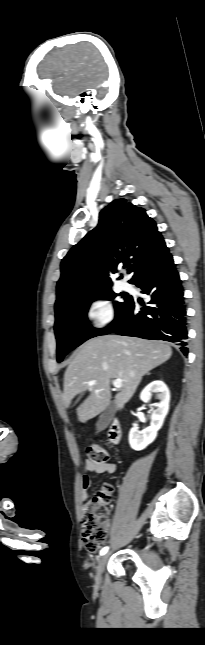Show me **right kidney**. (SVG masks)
Segmentation results:
<instances>
[{
  "label": "right kidney",
  "instance_id": "1",
  "mask_svg": "<svg viewBox=\"0 0 205 645\" xmlns=\"http://www.w3.org/2000/svg\"><path fill=\"white\" fill-rule=\"evenodd\" d=\"M153 393H157L159 402L154 405L156 409L152 408L151 410L150 426L139 431L137 425H135L129 432V444L136 451L144 449L155 440L157 431L162 427L169 410L170 392L166 384L159 380L151 382L141 392L140 399L147 403Z\"/></svg>",
  "mask_w": 205,
  "mask_h": 645
}]
</instances>
